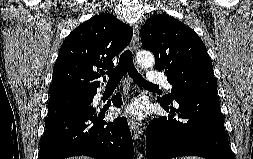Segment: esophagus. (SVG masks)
<instances>
[{"label": "esophagus", "mask_w": 253, "mask_h": 159, "mask_svg": "<svg viewBox=\"0 0 253 159\" xmlns=\"http://www.w3.org/2000/svg\"><path fill=\"white\" fill-rule=\"evenodd\" d=\"M138 48H139V29H138V25L135 24L133 27V38L131 42V49L132 51L136 52ZM129 127H130L132 137L134 139H138L139 137L142 136L143 130L140 127L139 123L136 122L133 118L129 119Z\"/></svg>", "instance_id": "1"}]
</instances>
